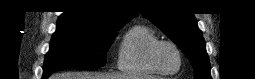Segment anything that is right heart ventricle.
Listing matches in <instances>:
<instances>
[{
    "mask_svg": "<svg viewBox=\"0 0 255 79\" xmlns=\"http://www.w3.org/2000/svg\"><path fill=\"white\" fill-rule=\"evenodd\" d=\"M158 41L156 33L147 26H132L120 45L118 68L124 73L153 76L160 74L149 63V48Z\"/></svg>",
    "mask_w": 255,
    "mask_h": 79,
    "instance_id": "1",
    "label": "right heart ventricle"
}]
</instances>
